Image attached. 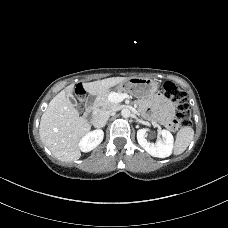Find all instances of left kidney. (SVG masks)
I'll use <instances>...</instances> for the list:
<instances>
[{
	"instance_id": "5707ae66",
	"label": "left kidney",
	"mask_w": 228,
	"mask_h": 228,
	"mask_svg": "<svg viewBox=\"0 0 228 228\" xmlns=\"http://www.w3.org/2000/svg\"><path fill=\"white\" fill-rule=\"evenodd\" d=\"M147 129L137 131V141L139 145L153 157L166 158L172 154L174 138L170 131L161 130L162 139L155 143L149 142L146 137Z\"/></svg>"
}]
</instances>
